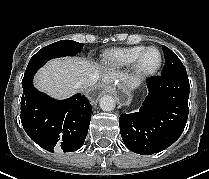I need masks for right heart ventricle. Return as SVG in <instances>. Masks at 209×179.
<instances>
[{"mask_svg": "<svg viewBox=\"0 0 209 179\" xmlns=\"http://www.w3.org/2000/svg\"><path fill=\"white\" fill-rule=\"evenodd\" d=\"M144 48L143 45H135L107 50L102 55V64L113 69L127 68Z\"/></svg>", "mask_w": 209, "mask_h": 179, "instance_id": "1", "label": "right heart ventricle"}]
</instances>
